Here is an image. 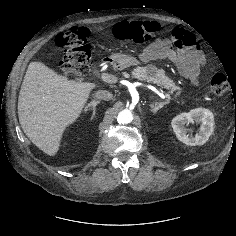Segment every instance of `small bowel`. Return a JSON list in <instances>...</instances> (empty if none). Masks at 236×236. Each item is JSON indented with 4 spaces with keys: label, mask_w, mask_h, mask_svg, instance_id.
I'll use <instances>...</instances> for the list:
<instances>
[{
    "label": "small bowel",
    "mask_w": 236,
    "mask_h": 236,
    "mask_svg": "<svg viewBox=\"0 0 236 236\" xmlns=\"http://www.w3.org/2000/svg\"><path fill=\"white\" fill-rule=\"evenodd\" d=\"M139 59L145 63L169 59L179 74L195 86L206 64L195 35L181 28L174 29L171 38H156L140 53Z\"/></svg>",
    "instance_id": "1"
}]
</instances>
